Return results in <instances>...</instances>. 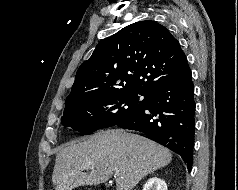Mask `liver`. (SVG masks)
<instances>
[{"label":"liver","mask_w":238,"mask_h":190,"mask_svg":"<svg viewBox=\"0 0 238 190\" xmlns=\"http://www.w3.org/2000/svg\"><path fill=\"white\" fill-rule=\"evenodd\" d=\"M171 160L168 149L148 138L108 130L62 147L56 156L52 181L55 190H72L105 183L115 172L116 190H132L141 179Z\"/></svg>","instance_id":"liver-1"}]
</instances>
